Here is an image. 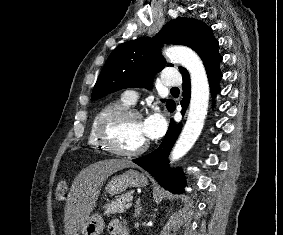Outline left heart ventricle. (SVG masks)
<instances>
[{"label": "left heart ventricle", "mask_w": 283, "mask_h": 235, "mask_svg": "<svg viewBox=\"0 0 283 235\" xmlns=\"http://www.w3.org/2000/svg\"><path fill=\"white\" fill-rule=\"evenodd\" d=\"M111 137L115 145L122 150H135L147 141L142 129V120L135 117L116 124Z\"/></svg>", "instance_id": "left-heart-ventricle-1"}]
</instances>
